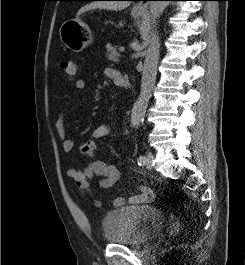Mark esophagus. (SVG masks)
Segmentation results:
<instances>
[{
    "instance_id": "1",
    "label": "esophagus",
    "mask_w": 245,
    "mask_h": 265,
    "mask_svg": "<svg viewBox=\"0 0 245 265\" xmlns=\"http://www.w3.org/2000/svg\"><path fill=\"white\" fill-rule=\"evenodd\" d=\"M135 11L144 12L147 10V2L146 0H141L134 6Z\"/></svg>"
}]
</instances>
